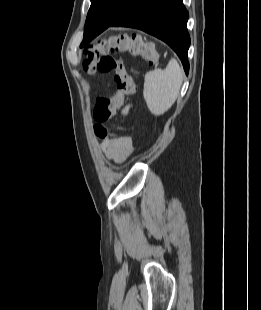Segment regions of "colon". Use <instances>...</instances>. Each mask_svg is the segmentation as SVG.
<instances>
[{
  "mask_svg": "<svg viewBox=\"0 0 261 310\" xmlns=\"http://www.w3.org/2000/svg\"><path fill=\"white\" fill-rule=\"evenodd\" d=\"M83 70L88 73H114L117 91L112 97H102L96 102L94 108V132L97 137L104 139L113 134L105 123L114 118L125 99L135 93V84L132 77L126 72L124 62L113 56L114 53H126L132 57H141L155 65L159 55L150 43H144L139 35L119 33L100 39L85 52Z\"/></svg>",
  "mask_w": 261,
  "mask_h": 310,
  "instance_id": "colon-1",
  "label": "colon"
}]
</instances>
